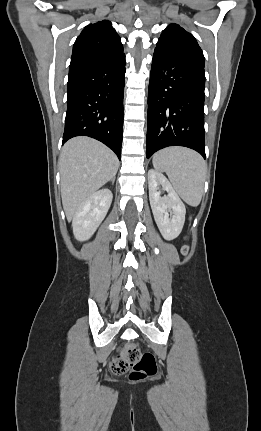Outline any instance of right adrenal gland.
<instances>
[{
    "instance_id": "obj_1",
    "label": "right adrenal gland",
    "mask_w": 261,
    "mask_h": 431,
    "mask_svg": "<svg viewBox=\"0 0 261 431\" xmlns=\"http://www.w3.org/2000/svg\"><path fill=\"white\" fill-rule=\"evenodd\" d=\"M114 182H115V177L112 179V184H114Z\"/></svg>"
}]
</instances>
